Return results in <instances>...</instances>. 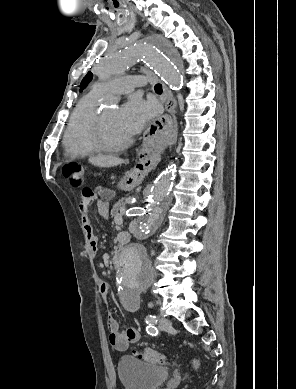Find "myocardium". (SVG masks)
Wrapping results in <instances>:
<instances>
[{"label":"myocardium","mask_w":296,"mask_h":389,"mask_svg":"<svg viewBox=\"0 0 296 389\" xmlns=\"http://www.w3.org/2000/svg\"><path fill=\"white\" fill-rule=\"evenodd\" d=\"M94 141L96 147L101 152H118L128 147L132 140L128 138L127 140L118 144H112L108 142L105 136L103 115L98 114L94 125Z\"/></svg>","instance_id":"f54148a6"}]
</instances>
